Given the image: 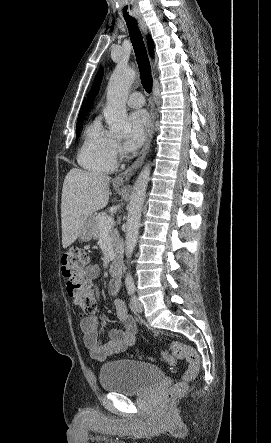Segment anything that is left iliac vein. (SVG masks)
Listing matches in <instances>:
<instances>
[{"label":"left iliac vein","instance_id":"obj_1","mask_svg":"<svg viewBox=\"0 0 271 443\" xmlns=\"http://www.w3.org/2000/svg\"><path fill=\"white\" fill-rule=\"evenodd\" d=\"M130 303H131V307L132 309L137 312V313H142L143 312V305L140 302V300L138 299L137 296H132L130 299Z\"/></svg>","mask_w":271,"mask_h":443}]
</instances>
